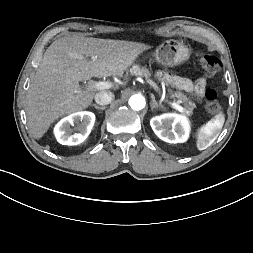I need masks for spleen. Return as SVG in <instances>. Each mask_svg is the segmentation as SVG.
<instances>
[{"instance_id": "spleen-1", "label": "spleen", "mask_w": 253, "mask_h": 253, "mask_svg": "<svg viewBox=\"0 0 253 253\" xmlns=\"http://www.w3.org/2000/svg\"><path fill=\"white\" fill-rule=\"evenodd\" d=\"M224 121V115L218 114L198 130L196 142L198 150H204L213 143V141L219 135L223 127Z\"/></svg>"}]
</instances>
